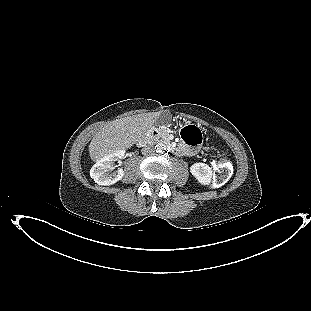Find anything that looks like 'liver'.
Here are the masks:
<instances>
[{"label":"liver","mask_w":311,"mask_h":311,"mask_svg":"<svg viewBox=\"0 0 311 311\" xmlns=\"http://www.w3.org/2000/svg\"><path fill=\"white\" fill-rule=\"evenodd\" d=\"M159 112H149L114 120L100 129L89 145L90 158L98 161L118 150L130 148L157 121Z\"/></svg>","instance_id":"obj_1"}]
</instances>
